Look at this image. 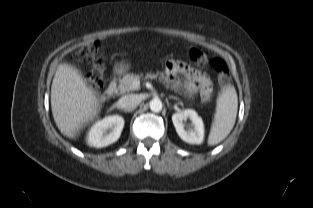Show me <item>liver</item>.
<instances>
[{
    "instance_id": "1",
    "label": "liver",
    "mask_w": 313,
    "mask_h": 208,
    "mask_svg": "<svg viewBox=\"0 0 313 208\" xmlns=\"http://www.w3.org/2000/svg\"><path fill=\"white\" fill-rule=\"evenodd\" d=\"M99 102L80 72L69 64H60L51 86V108L60 132L73 138L81 126L98 112Z\"/></svg>"
}]
</instances>
